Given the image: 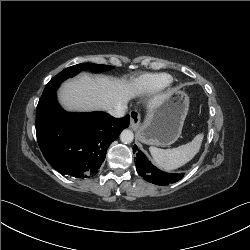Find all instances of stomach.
Returning a JSON list of instances; mask_svg holds the SVG:
<instances>
[{
	"label": "stomach",
	"instance_id": "stomach-1",
	"mask_svg": "<svg viewBox=\"0 0 250 250\" xmlns=\"http://www.w3.org/2000/svg\"><path fill=\"white\" fill-rule=\"evenodd\" d=\"M189 109V97L174 90L157 106L150 109L137 136L142 143L165 146L174 143L181 135Z\"/></svg>",
	"mask_w": 250,
	"mask_h": 250
}]
</instances>
